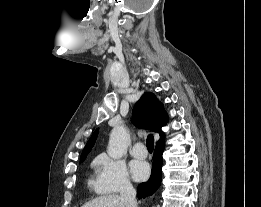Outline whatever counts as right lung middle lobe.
Instances as JSON below:
<instances>
[{
    "label": "right lung middle lobe",
    "mask_w": 261,
    "mask_h": 207,
    "mask_svg": "<svg viewBox=\"0 0 261 207\" xmlns=\"http://www.w3.org/2000/svg\"><path fill=\"white\" fill-rule=\"evenodd\" d=\"M84 159H85V158H82V159H80V161H81V162H83V161H84Z\"/></svg>",
    "instance_id": "1"
}]
</instances>
